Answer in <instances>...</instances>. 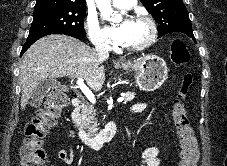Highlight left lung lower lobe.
<instances>
[{
    "label": "left lung lower lobe",
    "instance_id": "1",
    "mask_svg": "<svg viewBox=\"0 0 227 166\" xmlns=\"http://www.w3.org/2000/svg\"><path fill=\"white\" fill-rule=\"evenodd\" d=\"M188 36H189L190 38H192V39L196 42L195 37H194L193 34H188Z\"/></svg>",
    "mask_w": 227,
    "mask_h": 166
}]
</instances>
